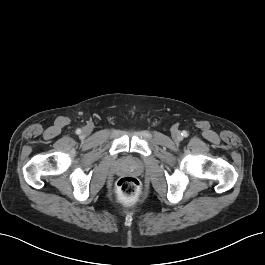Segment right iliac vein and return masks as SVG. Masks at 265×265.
I'll use <instances>...</instances> for the list:
<instances>
[{
	"label": "right iliac vein",
	"mask_w": 265,
	"mask_h": 265,
	"mask_svg": "<svg viewBox=\"0 0 265 265\" xmlns=\"http://www.w3.org/2000/svg\"><path fill=\"white\" fill-rule=\"evenodd\" d=\"M90 132H91V128L89 126L84 127L83 130H82V133L84 135H89Z\"/></svg>",
	"instance_id": "obj_1"
}]
</instances>
